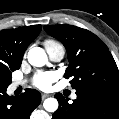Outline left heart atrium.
Returning a JSON list of instances; mask_svg holds the SVG:
<instances>
[{"label": "left heart atrium", "mask_w": 119, "mask_h": 119, "mask_svg": "<svg viewBox=\"0 0 119 119\" xmlns=\"http://www.w3.org/2000/svg\"><path fill=\"white\" fill-rule=\"evenodd\" d=\"M55 79H56L55 73L42 72L35 77L34 84L36 87L46 90L50 88L51 84L55 81Z\"/></svg>", "instance_id": "left-heart-atrium-1"}]
</instances>
